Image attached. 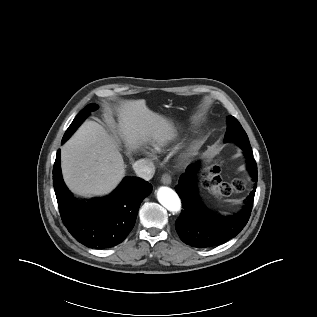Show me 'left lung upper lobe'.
Here are the masks:
<instances>
[{
    "mask_svg": "<svg viewBox=\"0 0 317 317\" xmlns=\"http://www.w3.org/2000/svg\"><path fill=\"white\" fill-rule=\"evenodd\" d=\"M224 142H236L241 148L251 147L246 132L238 120L231 115L227 119V131Z\"/></svg>",
    "mask_w": 317,
    "mask_h": 317,
    "instance_id": "obj_1",
    "label": "left lung upper lobe"
}]
</instances>
